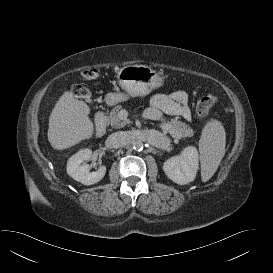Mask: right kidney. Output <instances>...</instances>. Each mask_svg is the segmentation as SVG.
I'll return each instance as SVG.
<instances>
[{"label": "right kidney", "mask_w": 273, "mask_h": 273, "mask_svg": "<svg viewBox=\"0 0 273 273\" xmlns=\"http://www.w3.org/2000/svg\"><path fill=\"white\" fill-rule=\"evenodd\" d=\"M92 151L90 149L80 150L68 159L67 173L74 180L84 184L92 185L99 182L106 173V167L101 166L97 171L90 172L85 161L90 160Z\"/></svg>", "instance_id": "ca27d5eb"}]
</instances>
